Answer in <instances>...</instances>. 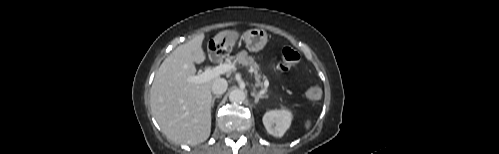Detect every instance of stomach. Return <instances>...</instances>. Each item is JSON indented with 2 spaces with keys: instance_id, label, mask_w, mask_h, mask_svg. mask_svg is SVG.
Returning a JSON list of instances; mask_svg holds the SVG:
<instances>
[{
  "instance_id": "obj_1",
  "label": "stomach",
  "mask_w": 499,
  "mask_h": 154,
  "mask_svg": "<svg viewBox=\"0 0 499 154\" xmlns=\"http://www.w3.org/2000/svg\"><path fill=\"white\" fill-rule=\"evenodd\" d=\"M237 38V32L224 31L216 35L214 41L216 46H219L220 49L227 50L234 45ZM267 38L268 36L266 31L257 28L248 30L242 35V39L244 40L247 49L252 52H258L262 50L267 44Z\"/></svg>"
}]
</instances>
